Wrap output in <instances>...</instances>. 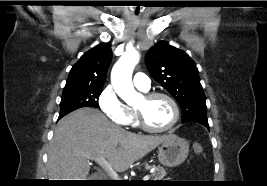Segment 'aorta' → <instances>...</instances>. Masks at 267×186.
Instances as JSON below:
<instances>
[{
  "label": "aorta",
  "mask_w": 267,
  "mask_h": 186,
  "mask_svg": "<svg viewBox=\"0 0 267 186\" xmlns=\"http://www.w3.org/2000/svg\"><path fill=\"white\" fill-rule=\"evenodd\" d=\"M139 58L136 50H128L120 57L111 72L114 90L127 103H133L140 98L132 83L133 69L139 62Z\"/></svg>",
  "instance_id": "obj_1"
}]
</instances>
